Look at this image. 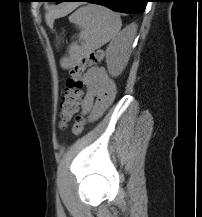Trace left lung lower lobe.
<instances>
[{
  "label": "left lung lower lobe",
  "instance_id": "1",
  "mask_svg": "<svg viewBox=\"0 0 202 217\" xmlns=\"http://www.w3.org/2000/svg\"><path fill=\"white\" fill-rule=\"evenodd\" d=\"M90 2L106 6L117 12H124L128 14L143 13L145 11L148 0H55L56 3L60 2Z\"/></svg>",
  "mask_w": 202,
  "mask_h": 217
}]
</instances>
